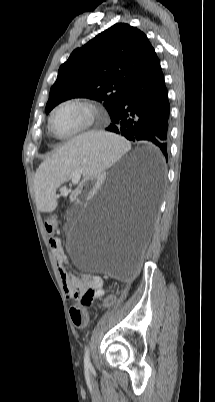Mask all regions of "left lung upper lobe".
<instances>
[{
	"label": "left lung upper lobe",
	"instance_id": "obj_1",
	"mask_svg": "<svg viewBox=\"0 0 215 402\" xmlns=\"http://www.w3.org/2000/svg\"><path fill=\"white\" fill-rule=\"evenodd\" d=\"M158 60L142 31L117 23L75 49L60 66L46 114L65 100L83 97L102 102L111 117L133 82Z\"/></svg>",
	"mask_w": 215,
	"mask_h": 402
}]
</instances>
